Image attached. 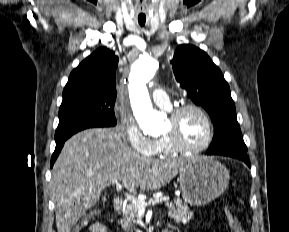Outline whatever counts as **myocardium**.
<instances>
[{
	"label": "myocardium",
	"instance_id": "obj_1",
	"mask_svg": "<svg viewBox=\"0 0 289 232\" xmlns=\"http://www.w3.org/2000/svg\"><path fill=\"white\" fill-rule=\"evenodd\" d=\"M196 111L201 115L207 125V137L203 143L197 146H187L185 145L177 136L176 133H171L168 135H164V139L167 141L168 145L171 149L177 153H187V154H194L199 153L210 146L214 139L215 129L213 122L209 116V114L204 110L201 106L197 104H184L181 106L176 107L170 114V119L173 122H177L178 119L187 111Z\"/></svg>",
	"mask_w": 289,
	"mask_h": 232
}]
</instances>
